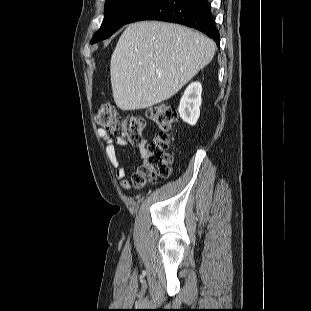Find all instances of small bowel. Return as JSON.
<instances>
[{"instance_id":"c3829d8e","label":"small bowel","mask_w":311,"mask_h":311,"mask_svg":"<svg viewBox=\"0 0 311 311\" xmlns=\"http://www.w3.org/2000/svg\"><path fill=\"white\" fill-rule=\"evenodd\" d=\"M97 135L104 145V150L110 164L115 169V176L119 180L120 186L124 190L130 189L132 185V177L131 178L128 177L125 167L120 165L116 148V146H126L127 145L126 139L123 137H117L116 139H112L108 135V133L102 128H99L97 130ZM137 147L139 149L141 158H143L147 149L146 140H142L140 143H138Z\"/></svg>"}]
</instances>
